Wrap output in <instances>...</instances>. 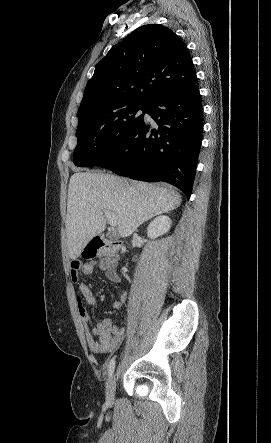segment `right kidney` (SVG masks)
<instances>
[{"mask_svg":"<svg viewBox=\"0 0 271 443\" xmlns=\"http://www.w3.org/2000/svg\"><path fill=\"white\" fill-rule=\"evenodd\" d=\"M171 227V220L168 216H158L155 218L153 222L149 223L147 227V235L148 237H159V235H163V233H167Z\"/></svg>","mask_w":271,"mask_h":443,"instance_id":"right-kidney-1","label":"right kidney"}]
</instances>
